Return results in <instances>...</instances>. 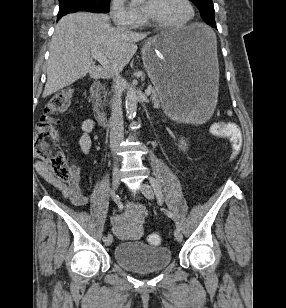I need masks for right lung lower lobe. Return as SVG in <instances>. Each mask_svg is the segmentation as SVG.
Segmentation results:
<instances>
[{
  "mask_svg": "<svg viewBox=\"0 0 286 308\" xmlns=\"http://www.w3.org/2000/svg\"><path fill=\"white\" fill-rule=\"evenodd\" d=\"M71 12H74V11H71ZM90 12H98V11H90ZM67 13H70V12H59V13H58L57 20H59L63 15H65V14H67Z\"/></svg>",
  "mask_w": 286,
  "mask_h": 308,
  "instance_id": "right-lung-lower-lobe-1",
  "label": "right lung lower lobe"
}]
</instances>
